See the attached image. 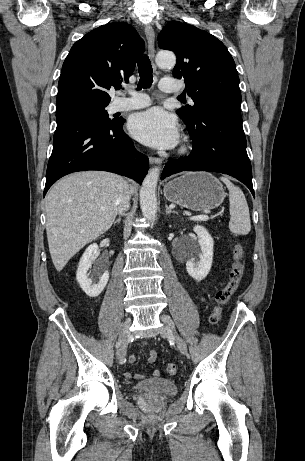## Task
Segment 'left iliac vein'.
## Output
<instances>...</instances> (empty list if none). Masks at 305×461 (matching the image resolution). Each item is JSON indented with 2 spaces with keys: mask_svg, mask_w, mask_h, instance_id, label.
Returning a JSON list of instances; mask_svg holds the SVG:
<instances>
[{
  "mask_svg": "<svg viewBox=\"0 0 305 461\" xmlns=\"http://www.w3.org/2000/svg\"><path fill=\"white\" fill-rule=\"evenodd\" d=\"M161 321L164 323V326L160 329V335L162 337H170L174 339L178 350L182 354H186L187 352V345L185 341L180 337L175 330V325L172 319L169 316L161 315Z\"/></svg>",
  "mask_w": 305,
  "mask_h": 461,
  "instance_id": "1",
  "label": "left iliac vein"
}]
</instances>
